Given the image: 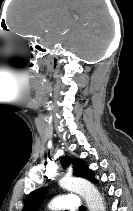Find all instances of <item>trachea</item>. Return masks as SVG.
<instances>
[{"instance_id":"obj_1","label":"trachea","mask_w":133,"mask_h":211,"mask_svg":"<svg viewBox=\"0 0 133 211\" xmlns=\"http://www.w3.org/2000/svg\"><path fill=\"white\" fill-rule=\"evenodd\" d=\"M79 211H86V207L82 206Z\"/></svg>"}]
</instances>
